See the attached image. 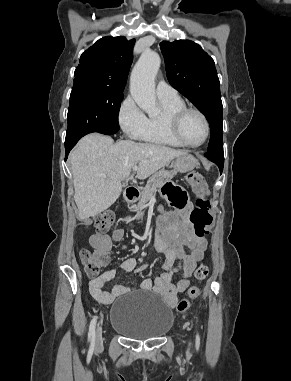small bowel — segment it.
I'll return each instance as SVG.
<instances>
[{
  "label": "small bowel",
  "mask_w": 291,
  "mask_h": 381,
  "mask_svg": "<svg viewBox=\"0 0 291 381\" xmlns=\"http://www.w3.org/2000/svg\"><path fill=\"white\" fill-rule=\"evenodd\" d=\"M165 189V195L174 210L168 212L162 209L157 219L154 244L156 250L164 255L162 271L156 279H143L140 289L162 295L168 306L175 307L178 295L188 288L194 269L203 260L208 243L205 238L196 236L188 229L191 207L186 201L184 192L178 187ZM175 199H183L184 203L180 206L176 205ZM122 238L123 230L116 229L111 236L94 234L89 242L95 251L108 253L112 242L119 243ZM125 248V245H120V249ZM146 268V265L136 268L134 258H127L120 265V269L125 272H142ZM175 273L179 274L177 282L172 281ZM116 274L117 269H110L89 281V292L99 303L111 304L115 298L130 290L125 285H114L111 290L104 289V286L113 280Z\"/></svg>",
  "instance_id": "obj_1"
}]
</instances>
